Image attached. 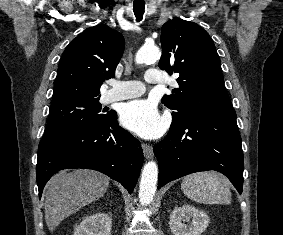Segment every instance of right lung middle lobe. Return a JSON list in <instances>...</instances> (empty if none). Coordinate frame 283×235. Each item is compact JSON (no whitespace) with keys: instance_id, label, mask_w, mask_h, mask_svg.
I'll list each match as a JSON object with an SVG mask.
<instances>
[{"instance_id":"dd1d6c3e","label":"right lung middle lobe","mask_w":283,"mask_h":235,"mask_svg":"<svg viewBox=\"0 0 283 235\" xmlns=\"http://www.w3.org/2000/svg\"><path fill=\"white\" fill-rule=\"evenodd\" d=\"M100 97H72L53 102L43 139H50L80 127L91 126L106 119Z\"/></svg>"}]
</instances>
